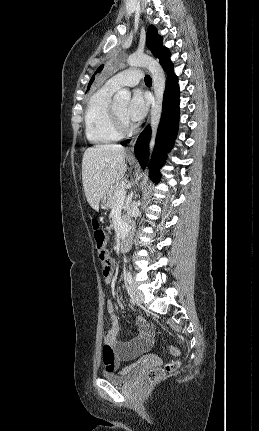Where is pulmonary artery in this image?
Masks as SVG:
<instances>
[{"label": "pulmonary artery", "mask_w": 259, "mask_h": 431, "mask_svg": "<svg viewBox=\"0 0 259 431\" xmlns=\"http://www.w3.org/2000/svg\"><path fill=\"white\" fill-rule=\"evenodd\" d=\"M142 78V73L139 69H129L127 71L121 72L107 81V85L118 89L123 86H135Z\"/></svg>", "instance_id": "pulmonary-artery-1"}]
</instances>
